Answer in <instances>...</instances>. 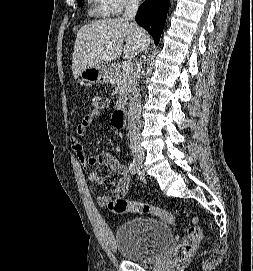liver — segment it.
<instances>
[{
  "mask_svg": "<svg viewBox=\"0 0 253 271\" xmlns=\"http://www.w3.org/2000/svg\"><path fill=\"white\" fill-rule=\"evenodd\" d=\"M125 41V45H124ZM150 44L142 28L122 18L104 19L83 26L77 33L72 57L73 76L84 69L117 59H132Z\"/></svg>",
  "mask_w": 253,
  "mask_h": 271,
  "instance_id": "6515ba94",
  "label": "liver"
}]
</instances>
